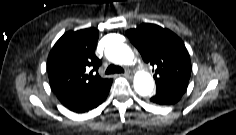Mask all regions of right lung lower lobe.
<instances>
[{
    "mask_svg": "<svg viewBox=\"0 0 236 135\" xmlns=\"http://www.w3.org/2000/svg\"><path fill=\"white\" fill-rule=\"evenodd\" d=\"M111 84L112 80L108 79L102 85L91 91L61 94L57 95V97L69 110L76 113H85L96 108L105 101L110 91Z\"/></svg>",
    "mask_w": 236,
    "mask_h": 135,
    "instance_id": "98d812e1",
    "label": "right lung lower lobe"
}]
</instances>
